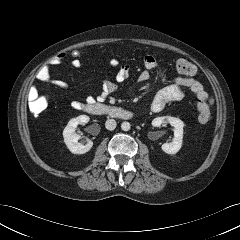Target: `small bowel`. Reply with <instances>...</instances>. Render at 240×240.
Wrapping results in <instances>:
<instances>
[{"label": "small bowel", "mask_w": 240, "mask_h": 240, "mask_svg": "<svg viewBox=\"0 0 240 240\" xmlns=\"http://www.w3.org/2000/svg\"><path fill=\"white\" fill-rule=\"evenodd\" d=\"M64 59L65 56L63 53L52 57L46 65L38 70L36 78L40 82L52 84L59 88H66L67 84L64 81L52 78L50 73V67L60 64ZM109 65L114 68L118 67V70L116 72L114 81L109 79H104L102 81L101 90L96 97V99L99 101L104 100L108 95L116 92L128 80L130 75V67L126 64L120 65L116 59H111L109 61ZM143 65L144 69L138 76V80L140 82H146L149 80L151 71L157 68L158 62L153 56L146 55L143 59ZM186 89L194 94L199 101H205L208 104L213 102L208 93L205 91L203 85L199 81L195 80L192 75H181L177 76L172 84L160 89L156 93L151 103V110L155 113L161 112L164 110L167 104L181 100L184 97V92ZM38 97L37 88L32 86L28 93V99L31 100ZM94 101V97L88 96L86 99V104L94 103ZM86 104L79 100L71 101V106L76 110L84 109Z\"/></svg>", "instance_id": "obj_1"}]
</instances>
